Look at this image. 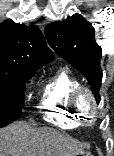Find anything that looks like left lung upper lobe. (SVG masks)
<instances>
[{"label": "left lung upper lobe", "mask_w": 114, "mask_h": 156, "mask_svg": "<svg viewBox=\"0 0 114 156\" xmlns=\"http://www.w3.org/2000/svg\"><path fill=\"white\" fill-rule=\"evenodd\" d=\"M94 32L91 23L79 14H74L61 22H52L45 27L49 45L59 56L84 74L96 101L99 102L102 80L101 47L95 42Z\"/></svg>", "instance_id": "left-lung-upper-lobe-1"}]
</instances>
